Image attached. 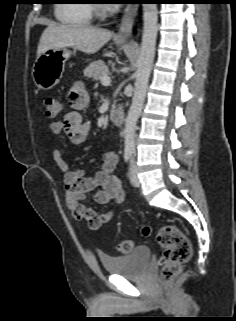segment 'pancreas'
<instances>
[{"mask_svg":"<svg viewBox=\"0 0 236 321\" xmlns=\"http://www.w3.org/2000/svg\"><path fill=\"white\" fill-rule=\"evenodd\" d=\"M109 73L107 65L102 60L91 63L84 70V75L88 78H92L94 81L100 80L103 75H109Z\"/></svg>","mask_w":236,"mask_h":321,"instance_id":"cf45deb5","label":"pancreas"}]
</instances>
